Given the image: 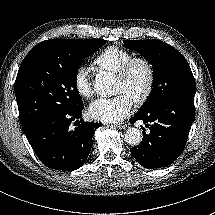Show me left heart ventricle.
<instances>
[{
  "mask_svg": "<svg viewBox=\"0 0 215 215\" xmlns=\"http://www.w3.org/2000/svg\"><path fill=\"white\" fill-rule=\"evenodd\" d=\"M146 77L145 68L141 64L136 65L127 79L115 78L114 94H126L133 101L143 93Z\"/></svg>",
  "mask_w": 215,
  "mask_h": 215,
  "instance_id": "left-heart-ventricle-1",
  "label": "left heart ventricle"
}]
</instances>
